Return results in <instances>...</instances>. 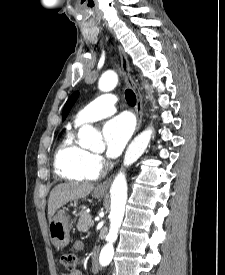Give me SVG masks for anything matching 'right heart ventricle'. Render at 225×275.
<instances>
[{
  "label": "right heart ventricle",
  "instance_id": "obj_1",
  "mask_svg": "<svg viewBox=\"0 0 225 275\" xmlns=\"http://www.w3.org/2000/svg\"><path fill=\"white\" fill-rule=\"evenodd\" d=\"M56 173L68 180L88 181L99 175L94 163V155L81 146L72 131L62 138L54 155Z\"/></svg>",
  "mask_w": 225,
  "mask_h": 275
}]
</instances>
